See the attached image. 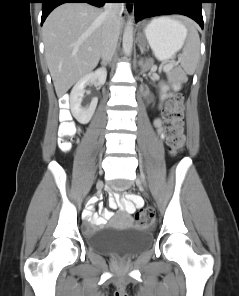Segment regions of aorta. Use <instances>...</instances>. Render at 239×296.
I'll use <instances>...</instances> for the list:
<instances>
[{"mask_svg":"<svg viewBox=\"0 0 239 296\" xmlns=\"http://www.w3.org/2000/svg\"><path fill=\"white\" fill-rule=\"evenodd\" d=\"M123 52L125 55L129 56L132 52L133 47V22L132 19H130L124 29L123 33Z\"/></svg>","mask_w":239,"mask_h":296,"instance_id":"obj_1","label":"aorta"}]
</instances>
